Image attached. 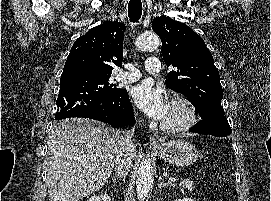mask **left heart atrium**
I'll use <instances>...</instances> for the list:
<instances>
[{"label": "left heart atrium", "mask_w": 271, "mask_h": 201, "mask_svg": "<svg viewBox=\"0 0 271 201\" xmlns=\"http://www.w3.org/2000/svg\"><path fill=\"white\" fill-rule=\"evenodd\" d=\"M132 99L141 111L153 119L164 121L169 113L170 104L163 90L148 81L134 87Z\"/></svg>", "instance_id": "39dd6f15"}]
</instances>
